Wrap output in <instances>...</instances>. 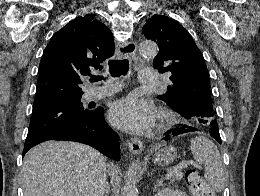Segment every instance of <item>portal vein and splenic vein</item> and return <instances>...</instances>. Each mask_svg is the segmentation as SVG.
<instances>
[{
	"instance_id": "portal-vein-and-splenic-vein-1",
	"label": "portal vein and splenic vein",
	"mask_w": 260,
	"mask_h": 196,
	"mask_svg": "<svg viewBox=\"0 0 260 196\" xmlns=\"http://www.w3.org/2000/svg\"><path fill=\"white\" fill-rule=\"evenodd\" d=\"M183 168H188L187 162H180V164H178V166H176L174 170H171V172H168V174H166L165 180H170V178H176L178 174H181V170H183Z\"/></svg>"
}]
</instances>
